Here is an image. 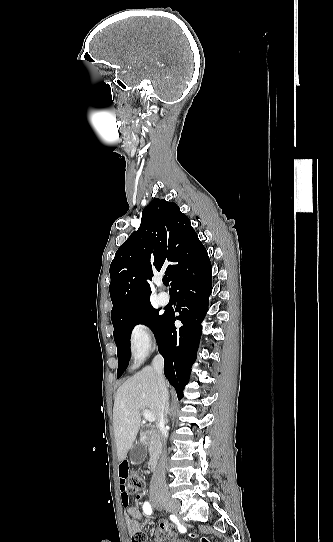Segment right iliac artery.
Instances as JSON below:
<instances>
[{
    "label": "right iliac artery",
    "instance_id": "right-iliac-artery-1",
    "mask_svg": "<svg viewBox=\"0 0 333 542\" xmlns=\"http://www.w3.org/2000/svg\"><path fill=\"white\" fill-rule=\"evenodd\" d=\"M143 510L147 515H151V513H152L151 506H150V504L148 502L144 503Z\"/></svg>",
    "mask_w": 333,
    "mask_h": 542
}]
</instances>
